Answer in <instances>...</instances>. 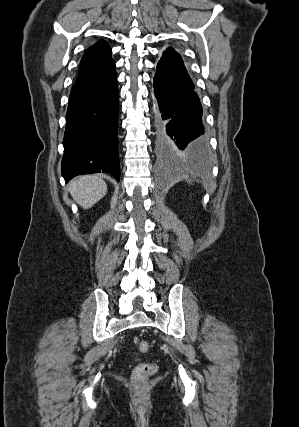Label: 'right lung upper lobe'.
Returning <instances> with one entry per match:
<instances>
[{"mask_svg":"<svg viewBox=\"0 0 299 427\" xmlns=\"http://www.w3.org/2000/svg\"><path fill=\"white\" fill-rule=\"evenodd\" d=\"M112 50L104 40L98 41L85 51L80 62V71L75 84L86 83L106 77L115 70Z\"/></svg>","mask_w":299,"mask_h":427,"instance_id":"right-lung-upper-lobe-1","label":"right lung upper lobe"}]
</instances>
